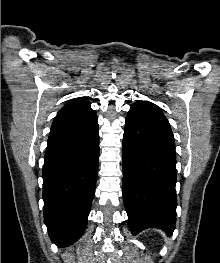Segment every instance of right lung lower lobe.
Listing matches in <instances>:
<instances>
[{"label":"right lung lower lobe","mask_w":220,"mask_h":263,"mask_svg":"<svg viewBox=\"0 0 220 263\" xmlns=\"http://www.w3.org/2000/svg\"><path fill=\"white\" fill-rule=\"evenodd\" d=\"M98 126L87 135H51L44 157V223L52 241L66 247L85 231L98 173Z\"/></svg>","instance_id":"1"}]
</instances>
